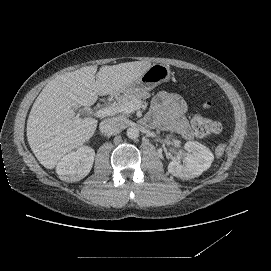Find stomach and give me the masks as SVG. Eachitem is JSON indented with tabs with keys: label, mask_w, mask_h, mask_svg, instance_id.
Here are the masks:
<instances>
[{
	"label": "stomach",
	"mask_w": 271,
	"mask_h": 271,
	"mask_svg": "<svg viewBox=\"0 0 271 271\" xmlns=\"http://www.w3.org/2000/svg\"><path fill=\"white\" fill-rule=\"evenodd\" d=\"M171 75V70L167 66L154 64L150 66L136 81L130 83L121 92L115 93L117 99L122 98L126 94H135L147 92L155 88L162 81L167 80Z\"/></svg>",
	"instance_id": "stomach-1"
}]
</instances>
